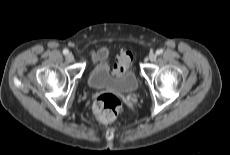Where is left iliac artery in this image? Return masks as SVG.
Here are the masks:
<instances>
[{
  "instance_id": "left-iliac-artery-1",
  "label": "left iliac artery",
  "mask_w": 230,
  "mask_h": 155,
  "mask_svg": "<svg viewBox=\"0 0 230 155\" xmlns=\"http://www.w3.org/2000/svg\"><path fill=\"white\" fill-rule=\"evenodd\" d=\"M163 53V49H158L157 51H156V54H158V55H160V54H162Z\"/></svg>"
}]
</instances>
